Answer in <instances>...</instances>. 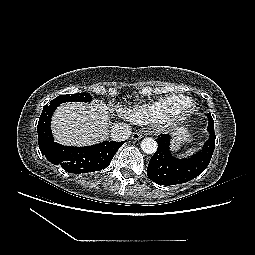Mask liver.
Wrapping results in <instances>:
<instances>
[{
    "instance_id": "obj_1",
    "label": "liver",
    "mask_w": 255,
    "mask_h": 255,
    "mask_svg": "<svg viewBox=\"0 0 255 255\" xmlns=\"http://www.w3.org/2000/svg\"><path fill=\"white\" fill-rule=\"evenodd\" d=\"M108 107L103 101L61 105L52 118L55 140L63 145L86 146L108 138Z\"/></svg>"
}]
</instances>
